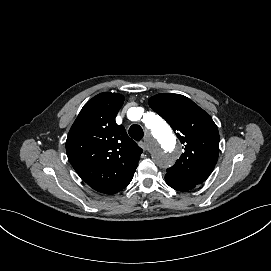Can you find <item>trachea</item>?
Masks as SVG:
<instances>
[{"label":"trachea","mask_w":271,"mask_h":271,"mask_svg":"<svg viewBox=\"0 0 271 271\" xmlns=\"http://www.w3.org/2000/svg\"><path fill=\"white\" fill-rule=\"evenodd\" d=\"M128 133L132 139L138 142L141 141L144 136L143 129L137 124L130 126Z\"/></svg>","instance_id":"obj_1"}]
</instances>
